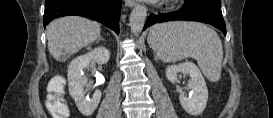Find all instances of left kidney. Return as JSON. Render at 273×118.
<instances>
[{
    "label": "left kidney",
    "mask_w": 273,
    "mask_h": 118,
    "mask_svg": "<svg viewBox=\"0 0 273 118\" xmlns=\"http://www.w3.org/2000/svg\"><path fill=\"white\" fill-rule=\"evenodd\" d=\"M178 73L191 77L188 83V88L192 92L191 96L188 97L185 93H181L179 96L182 107L191 115H200L208 100V90L203 75L193 62L171 65L166 68V77L171 83L177 80Z\"/></svg>",
    "instance_id": "1"
}]
</instances>
